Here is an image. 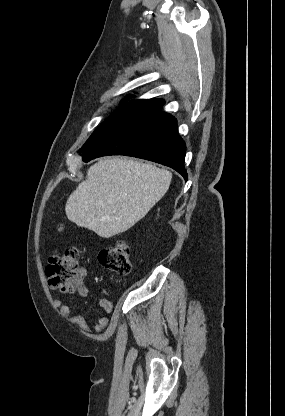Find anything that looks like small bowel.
I'll return each mask as SVG.
<instances>
[{
  "instance_id": "small-bowel-1",
  "label": "small bowel",
  "mask_w": 285,
  "mask_h": 416,
  "mask_svg": "<svg viewBox=\"0 0 285 416\" xmlns=\"http://www.w3.org/2000/svg\"><path fill=\"white\" fill-rule=\"evenodd\" d=\"M81 273H82V282L77 288V293L82 298H90L92 297V294L90 290L88 289L87 285L85 284V282L83 281L86 271L82 269ZM54 305L59 308L60 313L65 320H67L68 322L72 324L77 325L82 332L87 333V334L91 333L90 326L85 317L81 315H76L73 312V310L60 299H55ZM98 305L106 313V315H102L94 323V329L96 332L99 333L106 328L108 324L107 314H110L112 312L113 306H112L111 301L108 300L107 298H99Z\"/></svg>"
}]
</instances>
